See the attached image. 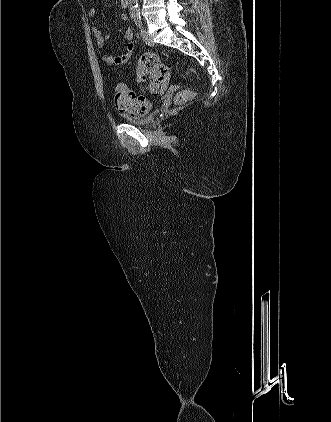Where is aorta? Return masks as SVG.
I'll list each match as a JSON object with an SVG mask.
<instances>
[{"label":"aorta","instance_id":"aorta-1","mask_svg":"<svg viewBox=\"0 0 331 422\" xmlns=\"http://www.w3.org/2000/svg\"><path fill=\"white\" fill-rule=\"evenodd\" d=\"M132 2H133L132 10L137 11L138 10V0H132Z\"/></svg>","mask_w":331,"mask_h":422}]
</instances>
